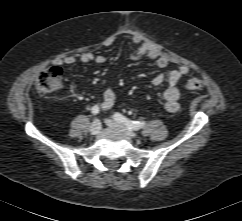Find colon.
<instances>
[{
  "label": "colon",
  "mask_w": 242,
  "mask_h": 221,
  "mask_svg": "<svg viewBox=\"0 0 242 221\" xmlns=\"http://www.w3.org/2000/svg\"><path fill=\"white\" fill-rule=\"evenodd\" d=\"M63 71L58 66H52L42 70L36 80V88L39 93L46 94L56 91L62 83ZM201 79L192 77L187 80L186 87L197 90L202 87Z\"/></svg>",
  "instance_id": "1"
}]
</instances>
